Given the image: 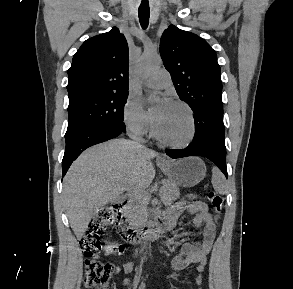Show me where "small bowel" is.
I'll return each mask as SVG.
<instances>
[{
	"label": "small bowel",
	"mask_w": 293,
	"mask_h": 289,
	"mask_svg": "<svg viewBox=\"0 0 293 289\" xmlns=\"http://www.w3.org/2000/svg\"><path fill=\"white\" fill-rule=\"evenodd\" d=\"M193 215V224L197 229L203 230V238L200 242H184L181 245L180 252L172 260V267L176 271H182L190 264H197L196 283L200 287L203 284V271L207 264V255L212 249L215 238L216 224L212 216L208 212V207L201 201L190 203H178L173 205L167 214L165 220L167 222V230L172 231L176 221L184 213ZM132 263H126L124 270L130 272L133 270ZM144 289V288H140Z\"/></svg>",
	"instance_id": "obj_1"
}]
</instances>
